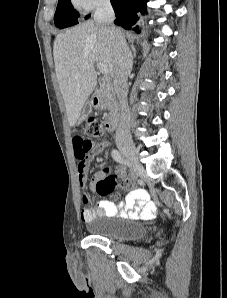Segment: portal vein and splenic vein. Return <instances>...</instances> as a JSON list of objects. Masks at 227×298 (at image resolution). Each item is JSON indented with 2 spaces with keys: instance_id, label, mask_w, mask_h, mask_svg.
I'll return each mask as SVG.
<instances>
[{
  "instance_id": "obj_1",
  "label": "portal vein and splenic vein",
  "mask_w": 227,
  "mask_h": 298,
  "mask_svg": "<svg viewBox=\"0 0 227 298\" xmlns=\"http://www.w3.org/2000/svg\"><path fill=\"white\" fill-rule=\"evenodd\" d=\"M97 68L99 69L100 73L107 76L108 75V69L104 64L97 63Z\"/></svg>"
}]
</instances>
